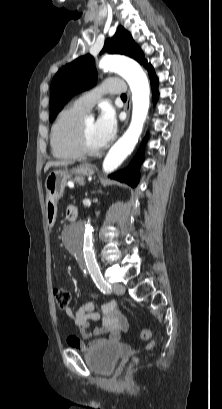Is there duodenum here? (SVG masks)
<instances>
[{
  "instance_id": "410a0bca",
  "label": "duodenum",
  "mask_w": 222,
  "mask_h": 409,
  "mask_svg": "<svg viewBox=\"0 0 222 409\" xmlns=\"http://www.w3.org/2000/svg\"><path fill=\"white\" fill-rule=\"evenodd\" d=\"M77 216H78V211H77V209H73L72 211H71V213L68 215V219L70 220V221H75L76 219H77Z\"/></svg>"
}]
</instances>
